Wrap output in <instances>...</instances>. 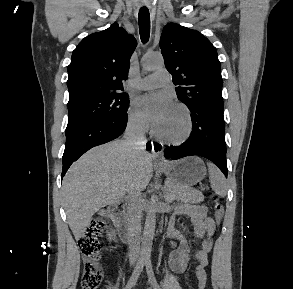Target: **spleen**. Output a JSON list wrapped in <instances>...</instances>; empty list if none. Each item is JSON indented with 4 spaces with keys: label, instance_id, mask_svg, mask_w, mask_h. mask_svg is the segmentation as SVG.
Segmentation results:
<instances>
[{
    "label": "spleen",
    "instance_id": "spleen-1",
    "mask_svg": "<svg viewBox=\"0 0 293 289\" xmlns=\"http://www.w3.org/2000/svg\"><path fill=\"white\" fill-rule=\"evenodd\" d=\"M209 181L212 190L219 196L225 197L227 194V184L224 175L211 163H208Z\"/></svg>",
    "mask_w": 293,
    "mask_h": 289
}]
</instances>
